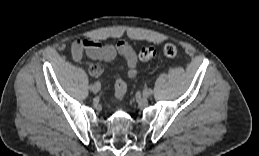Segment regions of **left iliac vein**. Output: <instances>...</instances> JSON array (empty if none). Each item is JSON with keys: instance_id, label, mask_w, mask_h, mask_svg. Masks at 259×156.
Segmentation results:
<instances>
[{"instance_id": "4c4485c4", "label": "left iliac vein", "mask_w": 259, "mask_h": 156, "mask_svg": "<svg viewBox=\"0 0 259 156\" xmlns=\"http://www.w3.org/2000/svg\"><path fill=\"white\" fill-rule=\"evenodd\" d=\"M149 96H151V95H149V93H147V89H145V90L143 91V97H144V98H148Z\"/></svg>"}]
</instances>
